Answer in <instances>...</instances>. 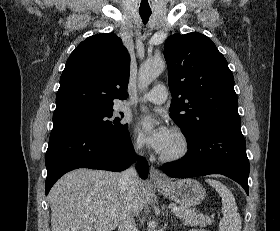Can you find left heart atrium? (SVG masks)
<instances>
[{
    "label": "left heart atrium",
    "mask_w": 280,
    "mask_h": 231,
    "mask_svg": "<svg viewBox=\"0 0 280 231\" xmlns=\"http://www.w3.org/2000/svg\"><path fill=\"white\" fill-rule=\"evenodd\" d=\"M145 142L157 153L167 151L175 138L174 131L165 123L153 124L149 117H143L137 124Z\"/></svg>",
    "instance_id": "obj_1"
}]
</instances>
